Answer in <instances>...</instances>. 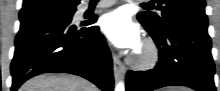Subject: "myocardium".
<instances>
[{"instance_id": "obj_1", "label": "myocardium", "mask_w": 220, "mask_h": 91, "mask_svg": "<svg viewBox=\"0 0 220 91\" xmlns=\"http://www.w3.org/2000/svg\"><path fill=\"white\" fill-rule=\"evenodd\" d=\"M159 59V50L152 39H147L131 57L132 65L141 70L154 67Z\"/></svg>"}]
</instances>
